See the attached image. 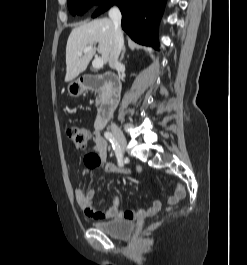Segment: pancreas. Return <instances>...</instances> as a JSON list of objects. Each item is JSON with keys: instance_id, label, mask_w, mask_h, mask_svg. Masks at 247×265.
<instances>
[{"instance_id": "cf45deb5", "label": "pancreas", "mask_w": 247, "mask_h": 265, "mask_svg": "<svg viewBox=\"0 0 247 265\" xmlns=\"http://www.w3.org/2000/svg\"><path fill=\"white\" fill-rule=\"evenodd\" d=\"M103 100H104L103 95L99 93L96 99V106L98 107L103 102Z\"/></svg>"}]
</instances>
